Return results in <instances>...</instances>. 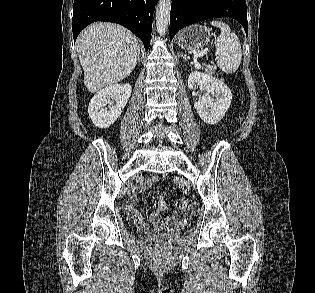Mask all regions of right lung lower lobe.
<instances>
[{"label": "right lung lower lobe", "instance_id": "right-lung-lower-lobe-1", "mask_svg": "<svg viewBox=\"0 0 315 293\" xmlns=\"http://www.w3.org/2000/svg\"><path fill=\"white\" fill-rule=\"evenodd\" d=\"M158 0H74L72 30L80 31L95 21L114 22L131 30L148 50L152 17Z\"/></svg>", "mask_w": 315, "mask_h": 293}]
</instances>
